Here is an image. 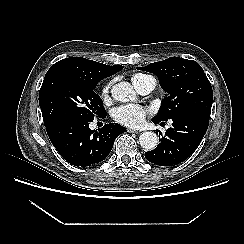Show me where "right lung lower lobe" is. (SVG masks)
<instances>
[{
    "label": "right lung lower lobe",
    "mask_w": 244,
    "mask_h": 244,
    "mask_svg": "<svg viewBox=\"0 0 244 244\" xmlns=\"http://www.w3.org/2000/svg\"><path fill=\"white\" fill-rule=\"evenodd\" d=\"M90 122L71 119L45 126L53 146L74 166L85 167L103 161L112 150L117 136L126 132L117 123L106 124L94 131L89 128Z\"/></svg>",
    "instance_id": "right-lung-lower-lobe-1"
}]
</instances>
